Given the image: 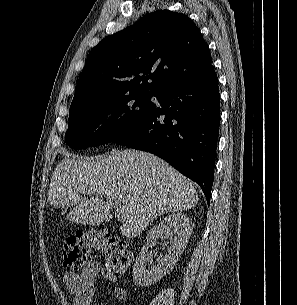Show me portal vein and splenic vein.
I'll return each instance as SVG.
<instances>
[{
  "label": "portal vein and splenic vein",
  "instance_id": "obj_1",
  "mask_svg": "<svg viewBox=\"0 0 297 305\" xmlns=\"http://www.w3.org/2000/svg\"><path fill=\"white\" fill-rule=\"evenodd\" d=\"M115 215L120 218L125 215V207L121 204L114 205Z\"/></svg>",
  "mask_w": 297,
  "mask_h": 305
}]
</instances>
